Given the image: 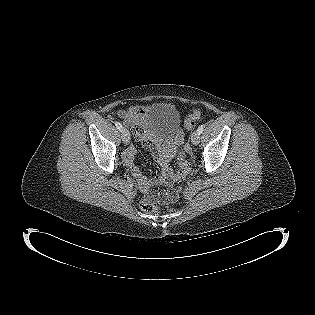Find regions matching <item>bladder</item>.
Masks as SVG:
<instances>
[{"label":"bladder","instance_id":"1","mask_svg":"<svg viewBox=\"0 0 315 315\" xmlns=\"http://www.w3.org/2000/svg\"><path fill=\"white\" fill-rule=\"evenodd\" d=\"M181 117L177 110L156 106L146 112L144 129L167 141H174L180 136Z\"/></svg>","mask_w":315,"mask_h":315}]
</instances>
